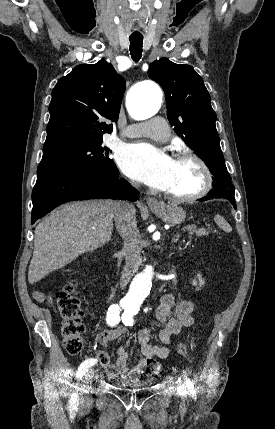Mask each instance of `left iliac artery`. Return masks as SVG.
<instances>
[{
	"label": "left iliac artery",
	"mask_w": 275,
	"mask_h": 429,
	"mask_svg": "<svg viewBox=\"0 0 275 429\" xmlns=\"http://www.w3.org/2000/svg\"><path fill=\"white\" fill-rule=\"evenodd\" d=\"M138 310L139 309L137 307L126 306L125 307V311H124V313L122 315V322L126 326H132L133 323H134L133 316L136 315V313L138 312ZM184 377L186 379L187 385L192 388V382L187 378V376L185 374H184Z\"/></svg>",
	"instance_id": "44dca946"
}]
</instances>
